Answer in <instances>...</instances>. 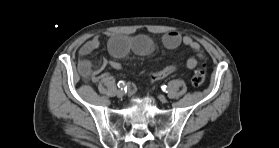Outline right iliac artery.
<instances>
[{
	"label": "right iliac artery",
	"instance_id": "obj_1",
	"mask_svg": "<svg viewBox=\"0 0 279 148\" xmlns=\"http://www.w3.org/2000/svg\"><path fill=\"white\" fill-rule=\"evenodd\" d=\"M117 85H118L119 88L126 90V86H125V83L123 81H119Z\"/></svg>",
	"mask_w": 279,
	"mask_h": 148
}]
</instances>
